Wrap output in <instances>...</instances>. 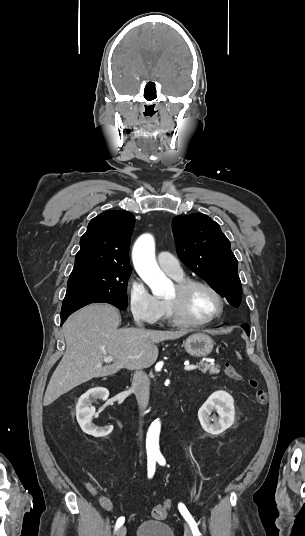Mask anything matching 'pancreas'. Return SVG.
<instances>
[{"label": "pancreas", "mask_w": 305, "mask_h": 536, "mask_svg": "<svg viewBox=\"0 0 305 536\" xmlns=\"http://www.w3.org/2000/svg\"><path fill=\"white\" fill-rule=\"evenodd\" d=\"M200 366H202L200 372H203V374H206V372H209V374H219V368H221L219 364H209V362H200Z\"/></svg>", "instance_id": "pancreas-1"}]
</instances>
